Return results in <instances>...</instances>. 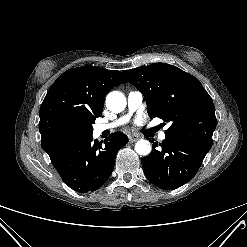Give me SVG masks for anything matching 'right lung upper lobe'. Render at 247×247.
Returning a JSON list of instances; mask_svg holds the SVG:
<instances>
[{"instance_id": "cb5924a9", "label": "right lung upper lobe", "mask_w": 247, "mask_h": 247, "mask_svg": "<svg viewBox=\"0 0 247 247\" xmlns=\"http://www.w3.org/2000/svg\"><path fill=\"white\" fill-rule=\"evenodd\" d=\"M126 80L120 71L82 66L64 72L50 87L40 108L42 149L54 157L100 117L107 93Z\"/></svg>"}]
</instances>
